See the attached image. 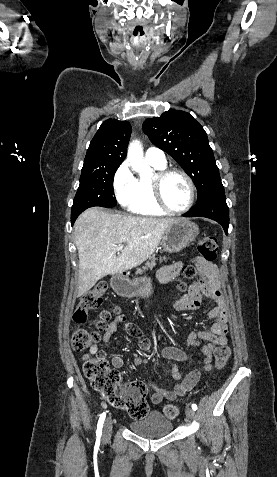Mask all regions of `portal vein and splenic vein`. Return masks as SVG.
I'll return each instance as SVG.
<instances>
[{"label":"portal vein and splenic vein","instance_id":"obj_1","mask_svg":"<svg viewBox=\"0 0 277 477\" xmlns=\"http://www.w3.org/2000/svg\"><path fill=\"white\" fill-rule=\"evenodd\" d=\"M123 249V245L119 244L117 245V250H122Z\"/></svg>","mask_w":277,"mask_h":477}]
</instances>
